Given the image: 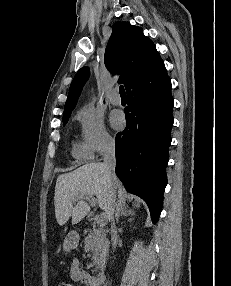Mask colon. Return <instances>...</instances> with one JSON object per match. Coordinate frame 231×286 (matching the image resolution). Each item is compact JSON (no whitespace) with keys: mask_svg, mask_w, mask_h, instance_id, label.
<instances>
[{"mask_svg":"<svg viewBox=\"0 0 231 286\" xmlns=\"http://www.w3.org/2000/svg\"><path fill=\"white\" fill-rule=\"evenodd\" d=\"M56 286H73V285L68 283V282H60V283L56 284Z\"/></svg>","mask_w":231,"mask_h":286,"instance_id":"colon-1","label":"colon"}]
</instances>
